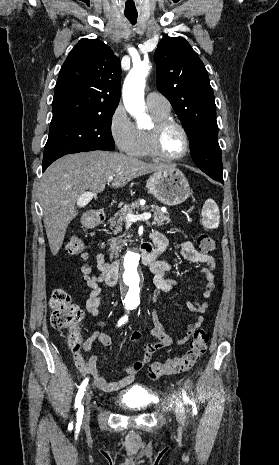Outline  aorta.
<instances>
[{
	"label": "aorta",
	"instance_id": "obj_1",
	"mask_svg": "<svg viewBox=\"0 0 279 465\" xmlns=\"http://www.w3.org/2000/svg\"><path fill=\"white\" fill-rule=\"evenodd\" d=\"M150 66L147 63L134 65L125 78L122 97L126 110L140 122L145 115L144 88ZM139 254L128 251L123 259L121 272L125 300L129 303L139 301L141 276L139 272Z\"/></svg>",
	"mask_w": 279,
	"mask_h": 465
}]
</instances>
